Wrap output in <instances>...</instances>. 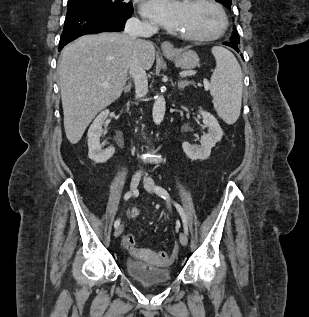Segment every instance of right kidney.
I'll return each instance as SVG.
<instances>
[{
  "label": "right kidney",
  "instance_id": "ca27d5eb",
  "mask_svg": "<svg viewBox=\"0 0 309 317\" xmlns=\"http://www.w3.org/2000/svg\"><path fill=\"white\" fill-rule=\"evenodd\" d=\"M109 115V110L102 111L94 120L92 125L88 130V156L91 160L96 163H105L108 159H110L114 153L115 148L109 147L106 149H102V145L100 144V137L103 133L102 126L105 120Z\"/></svg>",
  "mask_w": 309,
  "mask_h": 317
}]
</instances>
